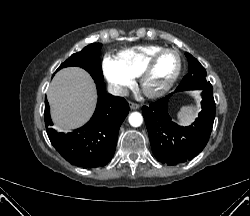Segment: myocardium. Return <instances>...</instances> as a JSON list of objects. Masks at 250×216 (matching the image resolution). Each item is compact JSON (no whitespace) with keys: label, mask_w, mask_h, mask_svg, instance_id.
Listing matches in <instances>:
<instances>
[{"label":"myocardium","mask_w":250,"mask_h":216,"mask_svg":"<svg viewBox=\"0 0 250 216\" xmlns=\"http://www.w3.org/2000/svg\"><path fill=\"white\" fill-rule=\"evenodd\" d=\"M165 53H174L177 56V59H178L177 69H176L174 75L172 76V78L170 79V81L162 89H160L158 91H153V92L148 91L145 88L146 78L148 77V75L152 71L158 58ZM182 66H183L182 56H181L180 52L176 49L163 48L160 51L154 53L149 58V60L147 61V63L145 64V66L143 67V69L141 70V72L139 74V85H140L142 92L149 98H159V97L164 96L166 93H168L170 91V89L177 82V80L180 77V74L182 72Z\"/></svg>","instance_id":"myocardium-1"}]
</instances>
